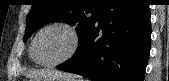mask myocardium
<instances>
[{
  "label": "myocardium",
  "mask_w": 169,
  "mask_h": 81,
  "mask_svg": "<svg viewBox=\"0 0 169 81\" xmlns=\"http://www.w3.org/2000/svg\"><path fill=\"white\" fill-rule=\"evenodd\" d=\"M52 28H62L64 30H66L72 38V46H71L70 50L68 51V53L64 57H62L61 59H59L55 62H52V63H44V62H41L37 57L36 42H37L38 37L43 32H45L49 29H52ZM79 44H80V36H79L77 29L74 26H72L68 23H65V22H54V23H51V24L41 28L35 34L32 44H31V54H32V57L35 60V62L37 64H39L40 66L45 67V68H53V67H56L64 62L68 61L70 58H72L74 56V54L77 52V50L79 48Z\"/></svg>",
  "instance_id": "myocardium-1"
}]
</instances>
